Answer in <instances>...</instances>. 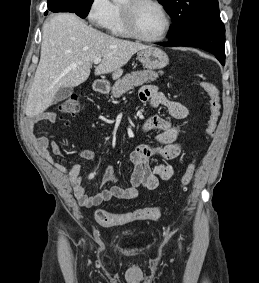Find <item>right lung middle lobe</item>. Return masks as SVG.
Instances as JSON below:
<instances>
[{"mask_svg": "<svg viewBox=\"0 0 259 283\" xmlns=\"http://www.w3.org/2000/svg\"><path fill=\"white\" fill-rule=\"evenodd\" d=\"M79 1H80V6L76 14L81 18H85L89 12L93 0H79Z\"/></svg>", "mask_w": 259, "mask_h": 283, "instance_id": "dd1d6c3e", "label": "right lung middle lobe"}]
</instances>
